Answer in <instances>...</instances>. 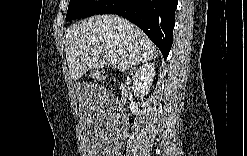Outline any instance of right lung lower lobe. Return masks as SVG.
<instances>
[{"instance_id":"obj_1","label":"right lung lower lobe","mask_w":247,"mask_h":156,"mask_svg":"<svg viewBox=\"0 0 247 156\" xmlns=\"http://www.w3.org/2000/svg\"><path fill=\"white\" fill-rule=\"evenodd\" d=\"M176 0H107L96 14H118L128 19L154 42L164 59L173 42Z\"/></svg>"}]
</instances>
